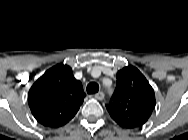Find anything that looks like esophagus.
Wrapping results in <instances>:
<instances>
[{
    "mask_svg": "<svg viewBox=\"0 0 188 140\" xmlns=\"http://www.w3.org/2000/svg\"><path fill=\"white\" fill-rule=\"evenodd\" d=\"M94 97L97 99V100H103L105 95L103 92H98L94 95Z\"/></svg>",
    "mask_w": 188,
    "mask_h": 140,
    "instance_id": "obj_1",
    "label": "esophagus"
}]
</instances>
